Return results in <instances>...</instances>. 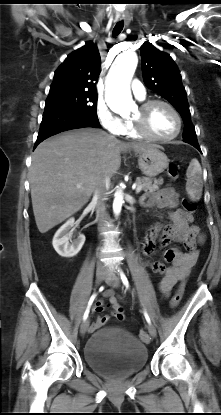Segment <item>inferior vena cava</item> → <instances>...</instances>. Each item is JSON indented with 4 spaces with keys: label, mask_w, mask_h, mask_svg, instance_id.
Here are the masks:
<instances>
[{
    "label": "inferior vena cava",
    "mask_w": 221,
    "mask_h": 415,
    "mask_svg": "<svg viewBox=\"0 0 221 415\" xmlns=\"http://www.w3.org/2000/svg\"><path fill=\"white\" fill-rule=\"evenodd\" d=\"M110 183V177L105 175L102 177L94 190L93 199L96 202V219L99 222V225H102L104 220L106 219V206H105V200L107 197V186ZM97 267L102 268L103 265L101 262H97Z\"/></svg>",
    "instance_id": "1"
}]
</instances>
